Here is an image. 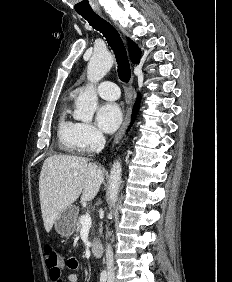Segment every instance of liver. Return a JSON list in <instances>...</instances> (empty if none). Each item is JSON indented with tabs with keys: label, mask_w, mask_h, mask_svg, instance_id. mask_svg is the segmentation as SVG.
Returning <instances> with one entry per match:
<instances>
[{
	"label": "liver",
	"mask_w": 232,
	"mask_h": 282,
	"mask_svg": "<svg viewBox=\"0 0 232 282\" xmlns=\"http://www.w3.org/2000/svg\"><path fill=\"white\" fill-rule=\"evenodd\" d=\"M104 180L103 170L79 156L48 157L39 177V197L46 232H50L63 209L81 195V202L91 201Z\"/></svg>",
	"instance_id": "obj_1"
}]
</instances>
